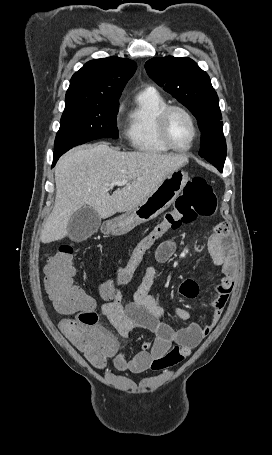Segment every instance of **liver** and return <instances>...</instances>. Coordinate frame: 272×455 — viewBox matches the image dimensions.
<instances>
[{
  "instance_id": "liver-1",
  "label": "liver",
  "mask_w": 272,
  "mask_h": 455,
  "mask_svg": "<svg viewBox=\"0 0 272 455\" xmlns=\"http://www.w3.org/2000/svg\"><path fill=\"white\" fill-rule=\"evenodd\" d=\"M187 163L185 155L121 152L106 143L68 151L55 167V204L41 232V242L65 238L70 219L86 205L103 219L132 210L165 177ZM123 180L128 183L110 195L109 184Z\"/></svg>"
}]
</instances>
